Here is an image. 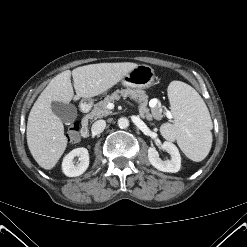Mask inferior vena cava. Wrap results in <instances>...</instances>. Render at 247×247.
I'll list each match as a JSON object with an SVG mask.
<instances>
[{
    "instance_id": "602c4592",
    "label": "inferior vena cava",
    "mask_w": 247,
    "mask_h": 247,
    "mask_svg": "<svg viewBox=\"0 0 247 247\" xmlns=\"http://www.w3.org/2000/svg\"><path fill=\"white\" fill-rule=\"evenodd\" d=\"M105 127H106L105 120H98L93 123L91 127V131L93 134H100L104 131Z\"/></svg>"
}]
</instances>
